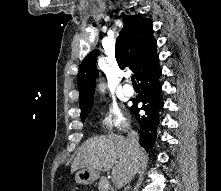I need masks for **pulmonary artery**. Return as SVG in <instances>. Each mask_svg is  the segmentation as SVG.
<instances>
[{
	"label": "pulmonary artery",
	"mask_w": 221,
	"mask_h": 191,
	"mask_svg": "<svg viewBox=\"0 0 221 191\" xmlns=\"http://www.w3.org/2000/svg\"><path fill=\"white\" fill-rule=\"evenodd\" d=\"M123 93L127 97H132L134 95V88L131 85L126 84L123 87Z\"/></svg>",
	"instance_id": "obj_1"
}]
</instances>
